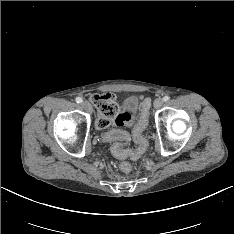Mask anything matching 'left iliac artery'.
<instances>
[{"mask_svg":"<svg viewBox=\"0 0 234 234\" xmlns=\"http://www.w3.org/2000/svg\"><path fill=\"white\" fill-rule=\"evenodd\" d=\"M170 99V97L169 96H164L163 97V100L166 102V101H168Z\"/></svg>","mask_w":234,"mask_h":234,"instance_id":"left-iliac-artery-1","label":"left iliac artery"}]
</instances>
